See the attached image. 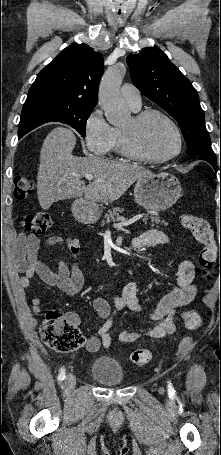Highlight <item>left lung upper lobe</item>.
I'll use <instances>...</instances> for the list:
<instances>
[{"mask_svg":"<svg viewBox=\"0 0 221 455\" xmlns=\"http://www.w3.org/2000/svg\"><path fill=\"white\" fill-rule=\"evenodd\" d=\"M133 84L179 124L191 156H215L205 127L204 112L191 82L158 48L127 57Z\"/></svg>","mask_w":221,"mask_h":455,"instance_id":"1","label":"left lung upper lobe"}]
</instances>
